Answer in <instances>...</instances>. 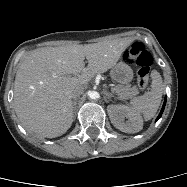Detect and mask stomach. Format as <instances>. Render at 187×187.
Returning <instances> with one entry per match:
<instances>
[{"label":"stomach","instance_id":"obj_1","mask_svg":"<svg viewBox=\"0 0 187 187\" xmlns=\"http://www.w3.org/2000/svg\"><path fill=\"white\" fill-rule=\"evenodd\" d=\"M110 75L115 81L126 84L133 79V70L129 65L121 61L113 66Z\"/></svg>","mask_w":187,"mask_h":187}]
</instances>
